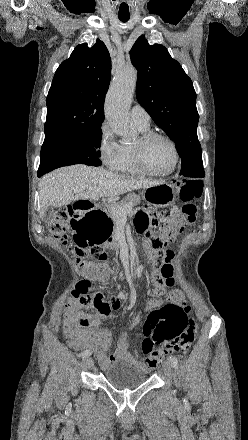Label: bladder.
I'll list each match as a JSON object with an SVG mask.
<instances>
[{
    "mask_svg": "<svg viewBox=\"0 0 248 440\" xmlns=\"http://www.w3.org/2000/svg\"><path fill=\"white\" fill-rule=\"evenodd\" d=\"M103 377L115 388H133L147 380L148 370L126 362H117L104 370Z\"/></svg>",
    "mask_w": 248,
    "mask_h": 440,
    "instance_id": "31cf9c89",
    "label": "bladder"
}]
</instances>
